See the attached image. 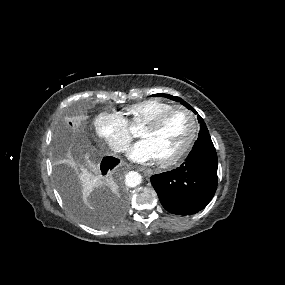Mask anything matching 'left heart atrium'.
Returning a JSON list of instances; mask_svg holds the SVG:
<instances>
[{
    "label": "left heart atrium",
    "mask_w": 285,
    "mask_h": 285,
    "mask_svg": "<svg viewBox=\"0 0 285 285\" xmlns=\"http://www.w3.org/2000/svg\"><path fill=\"white\" fill-rule=\"evenodd\" d=\"M128 157L140 163L151 162L156 160V154L147 140H140L135 143L127 153Z\"/></svg>",
    "instance_id": "left-heart-atrium-1"
}]
</instances>
